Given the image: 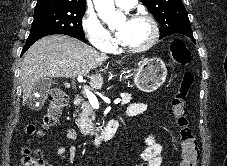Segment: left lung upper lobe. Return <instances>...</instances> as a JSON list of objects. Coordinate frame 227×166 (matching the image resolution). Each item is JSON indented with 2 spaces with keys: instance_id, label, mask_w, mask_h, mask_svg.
<instances>
[{
  "instance_id": "obj_1",
  "label": "left lung upper lobe",
  "mask_w": 227,
  "mask_h": 166,
  "mask_svg": "<svg viewBox=\"0 0 227 166\" xmlns=\"http://www.w3.org/2000/svg\"><path fill=\"white\" fill-rule=\"evenodd\" d=\"M161 24L160 38L179 33L193 36L187 11L182 0H141Z\"/></svg>"
}]
</instances>
